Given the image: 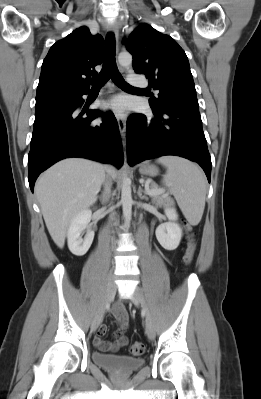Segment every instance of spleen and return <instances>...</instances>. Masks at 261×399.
<instances>
[{"instance_id":"1","label":"spleen","mask_w":261,"mask_h":399,"mask_svg":"<svg viewBox=\"0 0 261 399\" xmlns=\"http://www.w3.org/2000/svg\"><path fill=\"white\" fill-rule=\"evenodd\" d=\"M157 162L167 168L164 185L174 195L187 221L197 225L204 212L207 191L203 171L195 163L176 156H163Z\"/></svg>"}]
</instances>
